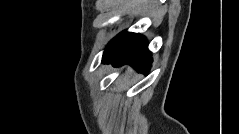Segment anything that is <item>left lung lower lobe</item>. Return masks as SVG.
Returning <instances> with one entry per match:
<instances>
[{"mask_svg":"<svg viewBox=\"0 0 239 134\" xmlns=\"http://www.w3.org/2000/svg\"><path fill=\"white\" fill-rule=\"evenodd\" d=\"M147 41L138 34L122 32L105 48L103 62H111L114 66L130 64L138 71H148L151 56Z\"/></svg>","mask_w":239,"mask_h":134,"instance_id":"obj_1","label":"left lung lower lobe"}]
</instances>
